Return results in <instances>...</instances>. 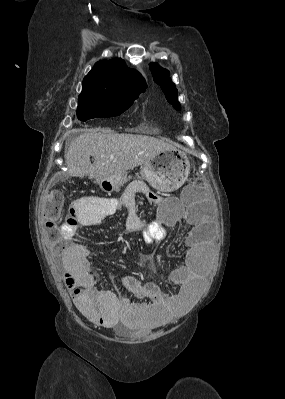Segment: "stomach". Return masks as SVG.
Segmentation results:
<instances>
[{
    "instance_id": "stomach-1",
    "label": "stomach",
    "mask_w": 285,
    "mask_h": 399,
    "mask_svg": "<svg viewBox=\"0 0 285 399\" xmlns=\"http://www.w3.org/2000/svg\"><path fill=\"white\" fill-rule=\"evenodd\" d=\"M190 172L187 155L174 148L158 152L153 158L141 166V178L163 192H171L183 185ZM127 178L106 176L97 180L105 192L117 191Z\"/></svg>"
}]
</instances>
